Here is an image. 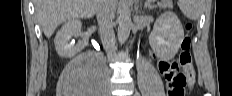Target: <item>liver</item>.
I'll return each instance as SVG.
<instances>
[{"mask_svg": "<svg viewBox=\"0 0 232 96\" xmlns=\"http://www.w3.org/2000/svg\"><path fill=\"white\" fill-rule=\"evenodd\" d=\"M34 4L43 32L50 38L63 21L93 17L98 0H34Z\"/></svg>", "mask_w": 232, "mask_h": 96, "instance_id": "1", "label": "liver"}]
</instances>
